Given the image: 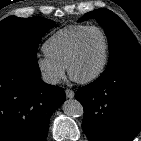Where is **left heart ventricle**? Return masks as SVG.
I'll return each instance as SVG.
<instances>
[{
    "instance_id": "b2bd125f",
    "label": "left heart ventricle",
    "mask_w": 141,
    "mask_h": 141,
    "mask_svg": "<svg viewBox=\"0 0 141 141\" xmlns=\"http://www.w3.org/2000/svg\"><path fill=\"white\" fill-rule=\"evenodd\" d=\"M105 50L103 36L96 30L88 32L83 38L80 52L72 65L76 78H86L100 67Z\"/></svg>"
}]
</instances>
